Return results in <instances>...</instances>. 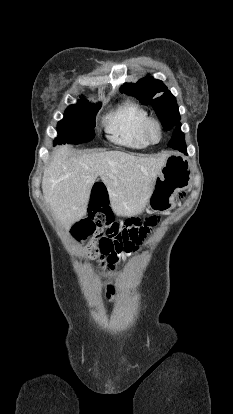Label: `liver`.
Masks as SVG:
<instances>
[{"label":"liver","instance_id":"1","mask_svg":"<svg viewBox=\"0 0 233 414\" xmlns=\"http://www.w3.org/2000/svg\"><path fill=\"white\" fill-rule=\"evenodd\" d=\"M71 150L69 145L55 149L42 179L44 199L65 226L86 215L97 177L107 187L116 215L129 217L142 213L168 157L167 153L141 157L122 151L70 157Z\"/></svg>","mask_w":233,"mask_h":414}]
</instances>
